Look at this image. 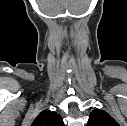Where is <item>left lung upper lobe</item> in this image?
Here are the masks:
<instances>
[{"label":"left lung upper lobe","mask_w":127,"mask_h":126,"mask_svg":"<svg viewBox=\"0 0 127 126\" xmlns=\"http://www.w3.org/2000/svg\"><path fill=\"white\" fill-rule=\"evenodd\" d=\"M87 126H119V124L106 111L95 109L89 116Z\"/></svg>","instance_id":"left-lung-upper-lobe-1"}]
</instances>
